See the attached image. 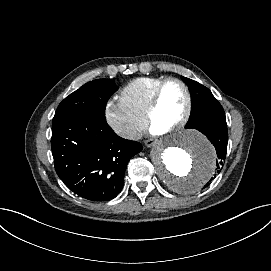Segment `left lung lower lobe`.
<instances>
[{
	"label": "left lung lower lobe",
	"mask_w": 271,
	"mask_h": 271,
	"mask_svg": "<svg viewBox=\"0 0 271 271\" xmlns=\"http://www.w3.org/2000/svg\"><path fill=\"white\" fill-rule=\"evenodd\" d=\"M195 129L206 135L216 149V174L209 180L211 182L221 172L226 159L228 131L223 108L209 111Z\"/></svg>",
	"instance_id": "left-lung-lower-lobe-1"
}]
</instances>
